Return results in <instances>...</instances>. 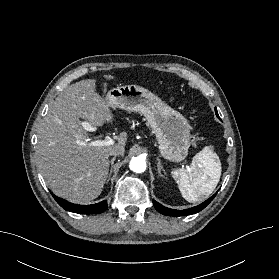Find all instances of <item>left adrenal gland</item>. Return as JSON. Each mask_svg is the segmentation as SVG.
<instances>
[{"instance_id": "obj_1", "label": "left adrenal gland", "mask_w": 279, "mask_h": 279, "mask_svg": "<svg viewBox=\"0 0 279 279\" xmlns=\"http://www.w3.org/2000/svg\"><path fill=\"white\" fill-rule=\"evenodd\" d=\"M157 161H158V163H157V170H158V173L160 174V176H163L162 175V173H161V171H164V169H163V167H162V165H161V160L157 157Z\"/></svg>"}]
</instances>
